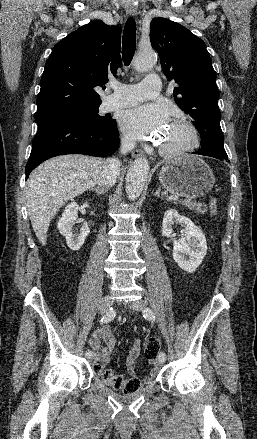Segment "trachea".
<instances>
[{
  "mask_svg": "<svg viewBox=\"0 0 257 439\" xmlns=\"http://www.w3.org/2000/svg\"><path fill=\"white\" fill-rule=\"evenodd\" d=\"M136 48V23L133 18H129L124 27L122 39V56L126 66H128L135 53Z\"/></svg>",
  "mask_w": 257,
  "mask_h": 439,
  "instance_id": "1",
  "label": "trachea"
}]
</instances>
